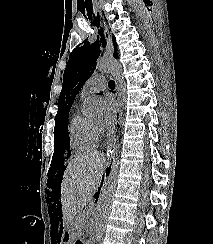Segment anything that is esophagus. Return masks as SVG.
Here are the masks:
<instances>
[{"label":"esophagus","mask_w":213,"mask_h":244,"mask_svg":"<svg viewBox=\"0 0 213 244\" xmlns=\"http://www.w3.org/2000/svg\"><path fill=\"white\" fill-rule=\"evenodd\" d=\"M117 97V112H116V120H115V132L112 136V138L110 139V141L107 144V156L108 157H112L114 150H115V146H116V140L118 138L117 135V130L120 126V121H121V106H120V98L118 95H116Z\"/></svg>","instance_id":"obj_1"}]
</instances>
